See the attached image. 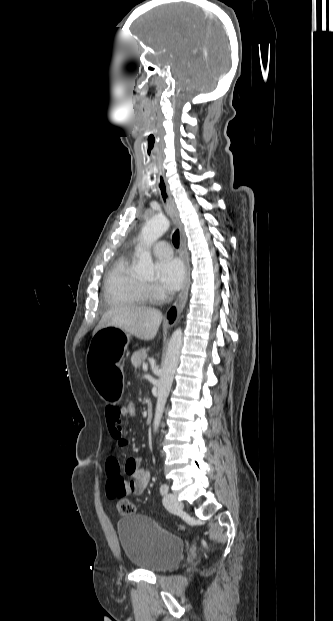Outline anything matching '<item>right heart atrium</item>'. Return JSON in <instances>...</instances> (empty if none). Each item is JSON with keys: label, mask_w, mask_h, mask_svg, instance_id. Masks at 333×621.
I'll use <instances>...</instances> for the list:
<instances>
[{"label": "right heart atrium", "mask_w": 333, "mask_h": 621, "mask_svg": "<svg viewBox=\"0 0 333 621\" xmlns=\"http://www.w3.org/2000/svg\"><path fill=\"white\" fill-rule=\"evenodd\" d=\"M146 288H147V291H148L150 297H152V298H154L156 300H159V299H161L163 297V292L160 289H158L157 287H155L153 285H147Z\"/></svg>", "instance_id": "1"}]
</instances>
